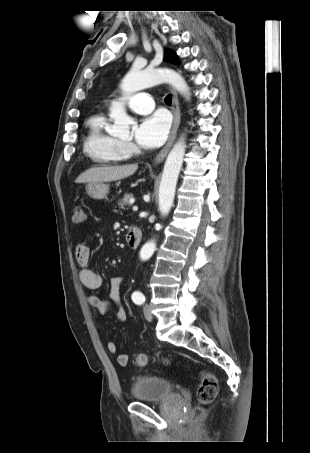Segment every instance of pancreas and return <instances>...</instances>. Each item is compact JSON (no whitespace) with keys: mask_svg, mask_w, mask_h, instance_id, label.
<instances>
[{"mask_svg":"<svg viewBox=\"0 0 310 453\" xmlns=\"http://www.w3.org/2000/svg\"><path fill=\"white\" fill-rule=\"evenodd\" d=\"M133 197V194L127 193L124 197L118 201V206L120 209H127L131 204L129 203L130 198Z\"/></svg>","mask_w":310,"mask_h":453,"instance_id":"obj_1","label":"pancreas"}]
</instances>
